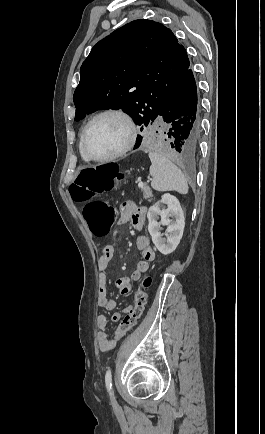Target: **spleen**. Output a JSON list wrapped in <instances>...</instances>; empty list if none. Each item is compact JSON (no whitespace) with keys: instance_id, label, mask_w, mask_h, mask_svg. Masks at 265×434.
<instances>
[{"instance_id":"1","label":"spleen","mask_w":265,"mask_h":434,"mask_svg":"<svg viewBox=\"0 0 265 434\" xmlns=\"http://www.w3.org/2000/svg\"><path fill=\"white\" fill-rule=\"evenodd\" d=\"M149 158L151 160L150 176H153L151 186L154 190L158 192L176 190L179 194H188L187 180L171 160L156 152H150Z\"/></svg>"}]
</instances>
